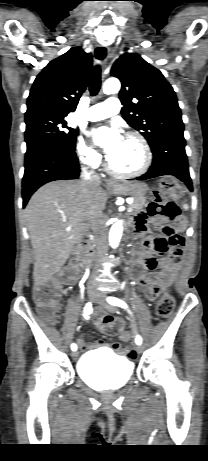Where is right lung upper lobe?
<instances>
[{"instance_id":"obj_1","label":"right lung upper lobe","mask_w":208,"mask_h":461,"mask_svg":"<svg viewBox=\"0 0 208 461\" xmlns=\"http://www.w3.org/2000/svg\"><path fill=\"white\" fill-rule=\"evenodd\" d=\"M91 69L92 55L81 47L50 61L33 83L25 116H67L75 111Z\"/></svg>"}]
</instances>
